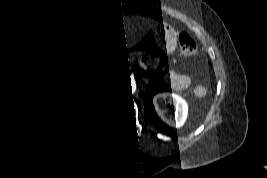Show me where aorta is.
Instances as JSON below:
<instances>
[{"label": "aorta", "mask_w": 267, "mask_h": 178, "mask_svg": "<svg viewBox=\"0 0 267 178\" xmlns=\"http://www.w3.org/2000/svg\"><path fill=\"white\" fill-rule=\"evenodd\" d=\"M131 86H132V93H135L136 92V84H135V82H132Z\"/></svg>", "instance_id": "aorta-1"}]
</instances>
